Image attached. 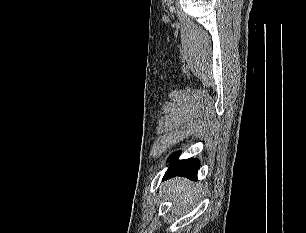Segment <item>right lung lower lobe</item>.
Listing matches in <instances>:
<instances>
[{
	"label": "right lung lower lobe",
	"mask_w": 306,
	"mask_h": 233,
	"mask_svg": "<svg viewBox=\"0 0 306 233\" xmlns=\"http://www.w3.org/2000/svg\"><path fill=\"white\" fill-rule=\"evenodd\" d=\"M180 153V151L175 152L169 157L168 161L172 164L166 171L163 180L175 176H184L189 179H197V172L200 166L199 160L193 158L177 160Z\"/></svg>",
	"instance_id": "98d812e1"
}]
</instances>
